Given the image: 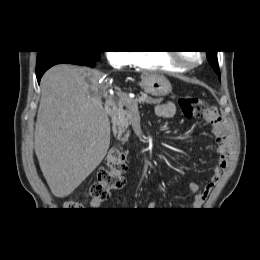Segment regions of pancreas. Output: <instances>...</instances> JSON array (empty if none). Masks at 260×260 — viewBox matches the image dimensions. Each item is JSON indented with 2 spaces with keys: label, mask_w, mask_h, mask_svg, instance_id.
<instances>
[{
  "label": "pancreas",
  "mask_w": 260,
  "mask_h": 260,
  "mask_svg": "<svg viewBox=\"0 0 260 260\" xmlns=\"http://www.w3.org/2000/svg\"><path fill=\"white\" fill-rule=\"evenodd\" d=\"M161 101L162 99L149 97L145 93H141V96H138V98L135 99L128 97V102L121 99L118 100L119 108L115 118V124L118 127V138L122 143L127 142L130 135V132L127 129L131 123L134 106L138 105V103L157 104Z\"/></svg>",
  "instance_id": "cf45deb5"
}]
</instances>
